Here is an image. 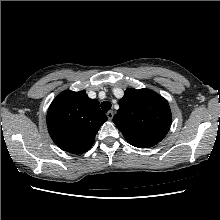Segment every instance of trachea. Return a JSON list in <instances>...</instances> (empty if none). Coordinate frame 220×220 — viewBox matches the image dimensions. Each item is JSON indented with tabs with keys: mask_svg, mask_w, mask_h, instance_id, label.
Masks as SVG:
<instances>
[{
	"mask_svg": "<svg viewBox=\"0 0 220 220\" xmlns=\"http://www.w3.org/2000/svg\"><path fill=\"white\" fill-rule=\"evenodd\" d=\"M111 103L109 102V101H103L102 103H101V108H102V110H103V112H108L110 109H111Z\"/></svg>",
	"mask_w": 220,
	"mask_h": 220,
	"instance_id": "3493384b",
	"label": "trachea"
}]
</instances>
